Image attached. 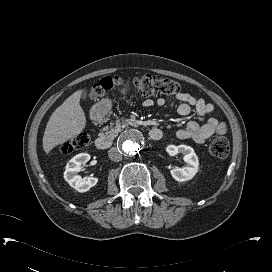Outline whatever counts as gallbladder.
I'll return each instance as SVG.
<instances>
[{
  "label": "gallbladder",
  "instance_id": "obj_1",
  "mask_svg": "<svg viewBox=\"0 0 272 272\" xmlns=\"http://www.w3.org/2000/svg\"><path fill=\"white\" fill-rule=\"evenodd\" d=\"M86 95H87V92H86V90H84L83 93H82V99H83V100L86 99Z\"/></svg>",
  "mask_w": 272,
  "mask_h": 272
}]
</instances>
